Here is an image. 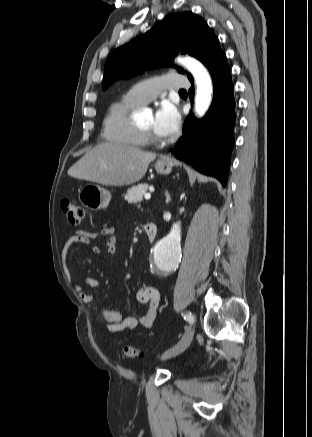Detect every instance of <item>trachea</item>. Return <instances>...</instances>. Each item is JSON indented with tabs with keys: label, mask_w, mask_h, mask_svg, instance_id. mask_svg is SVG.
Returning <instances> with one entry per match:
<instances>
[{
	"label": "trachea",
	"mask_w": 312,
	"mask_h": 437,
	"mask_svg": "<svg viewBox=\"0 0 312 437\" xmlns=\"http://www.w3.org/2000/svg\"><path fill=\"white\" fill-rule=\"evenodd\" d=\"M179 93H187L186 90H180Z\"/></svg>",
	"instance_id": "3493384b"
}]
</instances>
